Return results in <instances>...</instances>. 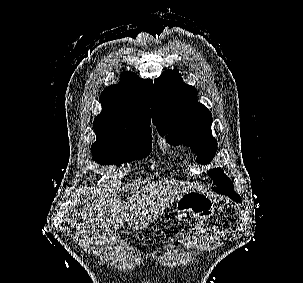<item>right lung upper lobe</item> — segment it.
<instances>
[{"mask_svg": "<svg viewBox=\"0 0 303 283\" xmlns=\"http://www.w3.org/2000/svg\"><path fill=\"white\" fill-rule=\"evenodd\" d=\"M151 91L150 80L122 72L120 82L106 87L100 96L102 112L94 119V131L150 125Z\"/></svg>", "mask_w": 303, "mask_h": 283, "instance_id": "cb5924a9", "label": "right lung upper lobe"}]
</instances>
